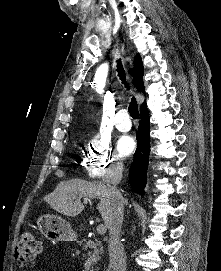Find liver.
<instances>
[{"label": "liver", "instance_id": "6515ba94", "mask_svg": "<svg viewBox=\"0 0 221 271\" xmlns=\"http://www.w3.org/2000/svg\"><path fill=\"white\" fill-rule=\"evenodd\" d=\"M81 197H98L100 201L97 209H99L105 225H109L113 213L114 197L110 191H107L103 181H86V179L61 181L52 193L45 195L44 199L58 213L75 217L85 207Z\"/></svg>", "mask_w": 221, "mask_h": 271}]
</instances>
